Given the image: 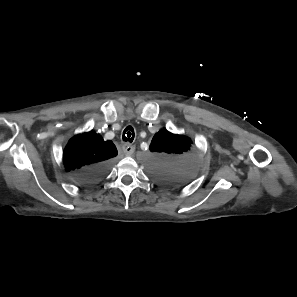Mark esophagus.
<instances>
[{"mask_svg":"<svg viewBox=\"0 0 297 297\" xmlns=\"http://www.w3.org/2000/svg\"><path fill=\"white\" fill-rule=\"evenodd\" d=\"M122 149L125 155L131 156L135 151V146L125 143L123 144Z\"/></svg>","mask_w":297,"mask_h":297,"instance_id":"obj_1","label":"esophagus"}]
</instances>
